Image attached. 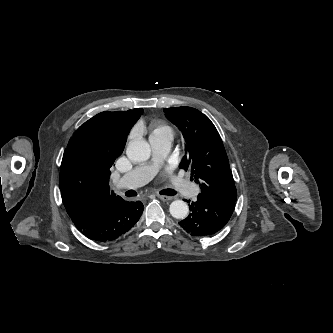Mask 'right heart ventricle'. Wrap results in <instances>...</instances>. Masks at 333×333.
<instances>
[{
  "mask_svg": "<svg viewBox=\"0 0 333 333\" xmlns=\"http://www.w3.org/2000/svg\"><path fill=\"white\" fill-rule=\"evenodd\" d=\"M171 135L173 136V130L170 126L163 124V123H158L155 125V127L152 130L151 135Z\"/></svg>",
  "mask_w": 333,
  "mask_h": 333,
  "instance_id": "1",
  "label": "right heart ventricle"
}]
</instances>
